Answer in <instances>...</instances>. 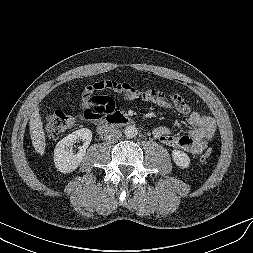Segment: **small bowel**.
Masks as SVG:
<instances>
[{
    "instance_id": "obj_1",
    "label": "small bowel",
    "mask_w": 253,
    "mask_h": 253,
    "mask_svg": "<svg viewBox=\"0 0 253 253\" xmlns=\"http://www.w3.org/2000/svg\"><path fill=\"white\" fill-rule=\"evenodd\" d=\"M103 90H110L121 95L126 100H137L152 103L161 108L175 109L186 116L187 123L192 129L175 134L170 128L158 126L153 130V136L166 146L181 149L190 155H199L207 147L216 132V123L213 118L194 111L192 107L177 93L166 94L159 89H147L139 91L126 82L116 80H100L86 86L81 95L83 114L81 119L92 124L98 121L90 119L88 115H94L96 108H104L107 114L115 112V102L109 96L99 94Z\"/></svg>"
}]
</instances>
